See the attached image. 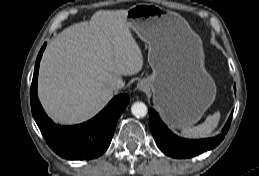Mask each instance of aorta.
I'll list each match as a JSON object with an SVG mask.
<instances>
[{"label": "aorta", "instance_id": "1", "mask_svg": "<svg viewBox=\"0 0 259 176\" xmlns=\"http://www.w3.org/2000/svg\"><path fill=\"white\" fill-rule=\"evenodd\" d=\"M132 114L137 118H143L147 115L148 109L143 102H135L131 106Z\"/></svg>", "mask_w": 259, "mask_h": 176}]
</instances>
